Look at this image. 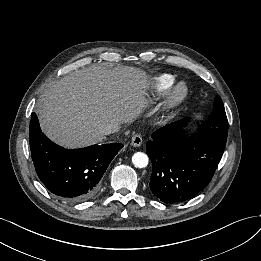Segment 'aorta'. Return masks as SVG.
<instances>
[{
	"mask_svg": "<svg viewBox=\"0 0 261 261\" xmlns=\"http://www.w3.org/2000/svg\"><path fill=\"white\" fill-rule=\"evenodd\" d=\"M148 156L143 152H136L132 156V163L137 168H144L148 165Z\"/></svg>",
	"mask_w": 261,
	"mask_h": 261,
	"instance_id": "aorta-1",
	"label": "aorta"
}]
</instances>
